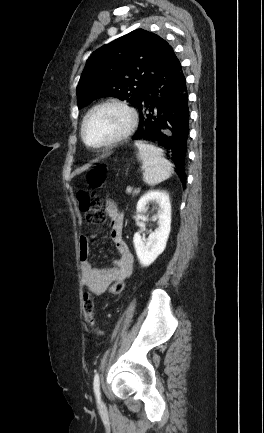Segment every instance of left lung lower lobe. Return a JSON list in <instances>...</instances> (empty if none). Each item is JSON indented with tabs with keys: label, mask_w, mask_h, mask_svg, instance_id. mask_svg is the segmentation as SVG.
I'll return each instance as SVG.
<instances>
[{
	"label": "left lung lower lobe",
	"mask_w": 264,
	"mask_h": 433,
	"mask_svg": "<svg viewBox=\"0 0 264 433\" xmlns=\"http://www.w3.org/2000/svg\"><path fill=\"white\" fill-rule=\"evenodd\" d=\"M136 107L140 113V127L133 139L152 141L165 148L185 185L184 166L189 134L188 94L180 61L173 51L140 95Z\"/></svg>",
	"instance_id": "obj_1"
}]
</instances>
